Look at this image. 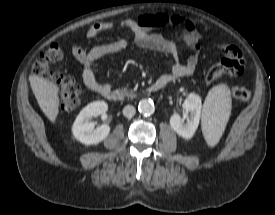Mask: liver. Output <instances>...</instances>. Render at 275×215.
Masks as SVG:
<instances>
[{
  "label": "liver",
  "instance_id": "obj_1",
  "mask_svg": "<svg viewBox=\"0 0 275 215\" xmlns=\"http://www.w3.org/2000/svg\"><path fill=\"white\" fill-rule=\"evenodd\" d=\"M30 86L45 116L55 123L59 113V87L38 75L29 76Z\"/></svg>",
  "mask_w": 275,
  "mask_h": 215
}]
</instances>
